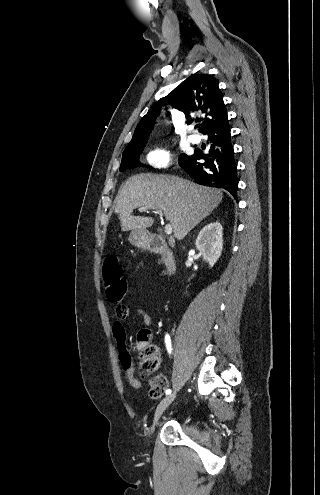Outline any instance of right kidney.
<instances>
[{
    "instance_id": "ca27d5eb",
    "label": "right kidney",
    "mask_w": 320,
    "mask_h": 495,
    "mask_svg": "<svg viewBox=\"0 0 320 495\" xmlns=\"http://www.w3.org/2000/svg\"><path fill=\"white\" fill-rule=\"evenodd\" d=\"M222 230V225L219 222L210 223L203 227L195 242L203 259L208 262L210 267L214 266L222 252Z\"/></svg>"
}]
</instances>
